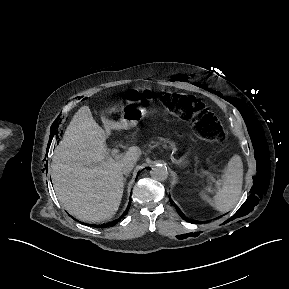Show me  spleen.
<instances>
[{
  "label": "spleen",
  "instance_id": "3e777b00",
  "mask_svg": "<svg viewBox=\"0 0 289 289\" xmlns=\"http://www.w3.org/2000/svg\"><path fill=\"white\" fill-rule=\"evenodd\" d=\"M243 185V164L240 156H233L223 170L216 194L203 199L219 212H228L237 204Z\"/></svg>",
  "mask_w": 289,
  "mask_h": 289
}]
</instances>
